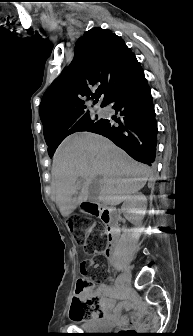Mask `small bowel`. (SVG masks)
<instances>
[{
	"label": "small bowel",
	"instance_id": "c3829d8e",
	"mask_svg": "<svg viewBox=\"0 0 193 336\" xmlns=\"http://www.w3.org/2000/svg\"><path fill=\"white\" fill-rule=\"evenodd\" d=\"M87 294H95L100 297L102 311L94 316V321L102 319L107 325H125L129 323V320L122 317L121 307L116 306V300L112 289L106 284H99L94 289L88 291ZM122 307H131V295L126 293L122 298ZM138 325H144L146 318L139 314L134 319Z\"/></svg>",
	"mask_w": 193,
	"mask_h": 336
}]
</instances>
